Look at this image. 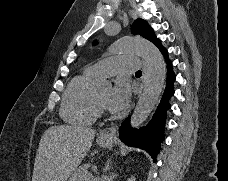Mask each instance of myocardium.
Segmentation results:
<instances>
[{
  "label": "myocardium",
  "instance_id": "f54148a6",
  "mask_svg": "<svg viewBox=\"0 0 228 181\" xmlns=\"http://www.w3.org/2000/svg\"><path fill=\"white\" fill-rule=\"evenodd\" d=\"M96 107L99 112H101V113L106 112V108H105L104 104L99 100L98 97H96Z\"/></svg>",
  "mask_w": 228,
  "mask_h": 181
}]
</instances>
